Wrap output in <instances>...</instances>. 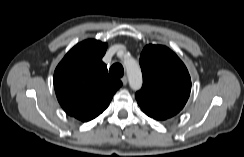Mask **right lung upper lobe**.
<instances>
[{"label":"right lung upper lobe","mask_w":244,"mask_h":157,"mask_svg":"<svg viewBox=\"0 0 244 157\" xmlns=\"http://www.w3.org/2000/svg\"><path fill=\"white\" fill-rule=\"evenodd\" d=\"M107 44L85 40L74 46L54 72L57 99L64 111L83 122L96 118L122 86L102 62Z\"/></svg>","instance_id":"cb5924a9"}]
</instances>
